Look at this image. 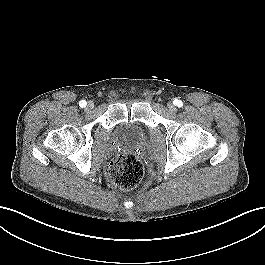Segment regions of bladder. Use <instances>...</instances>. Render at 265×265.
I'll return each instance as SVG.
<instances>
[{
  "mask_svg": "<svg viewBox=\"0 0 265 265\" xmlns=\"http://www.w3.org/2000/svg\"><path fill=\"white\" fill-rule=\"evenodd\" d=\"M119 134L123 139L139 141L143 135V129L135 124L124 125L119 129Z\"/></svg>",
  "mask_w": 265,
  "mask_h": 265,
  "instance_id": "bladder-1",
  "label": "bladder"
}]
</instances>
